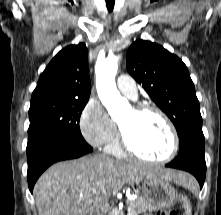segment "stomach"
Masks as SVG:
<instances>
[{
	"mask_svg": "<svg viewBox=\"0 0 221 215\" xmlns=\"http://www.w3.org/2000/svg\"><path fill=\"white\" fill-rule=\"evenodd\" d=\"M141 188L145 199L158 209L170 208L179 200V195L171 184L158 177L144 178Z\"/></svg>",
	"mask_w": 221,
	"mask_h": 215,
	"instance_id": "1",
	"label": "stomach"
}]
</instances>
